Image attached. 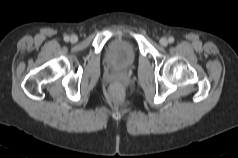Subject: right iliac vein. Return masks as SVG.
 Listing matches in <instances>:
<instances>
[{
  "label": "right iliac vein",
  "instance_id": "1",
  "mask_svg": "<svg viewBox=\"0 0 238 158\" xmlns=\"http://www.w3.org/2000/svg\"><path fill=\"white\" fill-rule=\"evenodd\" d=\"M77 40H78V37H77L76 35H72V36L70 37V41H71L72 43L77 42Z\"/></svg>",
  "mask_w": 238,
  "mask_h": 158
}]
</instances>
